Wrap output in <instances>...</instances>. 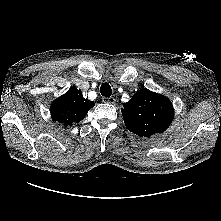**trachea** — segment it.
I'll list each match as a JSON object with an SVG mask.
<instances>
[{
	"label": "trachea",
	"instance_id": "obj_1",
	"mask_svg": "<svg viewBox=\"0 0 221 221\" xmlns=\"http://www.w3.org/2000/svg\"><path fill=\"white\" fill-rule=\"evenodd\" d=\"M100 92L103 96L110 97L112 94L111 86L107 82L103 83L100 87Z\"/></svg>",
	"mask_w": 221,
	"mask_h": 221
}]
</instances>
